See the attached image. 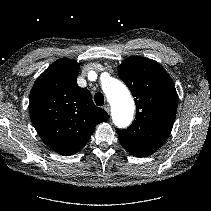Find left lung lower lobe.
<instances>
[{"label": "left lung lower lobe", "mask_w": 211, "mask_h": 211, "mask_svg": "<svg viewBox=\"0 0 211 211\" xmlns=\"http://www.w3.org/2000/svg\"><path fill=\"white\" fill-rule=\"evenodd\" d=\"M119 142L121 145L132 155L137 157H144L147 156L157 149H159L162 145L160 144H144V143H137L132 142L123 138L118 137Z\"/></svg>", "instance_id": "0a47b994"}]
</instances>
